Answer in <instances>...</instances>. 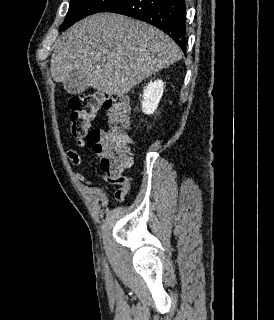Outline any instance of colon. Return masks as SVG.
<instances>
[{"label":"colon","instance_id":"colon-1","mask_svg":"<svg viewBox=\"0 0 274 320\" xmlns=\"http://www.w3.org/2000/svg\"><path fill=\"white\" fill-rule=\"evenodd\" d=\"M126 100L123 96L108 99L100 91H92L70 97L67 101L70 111L69 133L84 134L85 138L92 139L94 151L104 153L100 163L101 170L121 185L115 196H126L129 190L127 178L121 175L131 161V138L127 133L130 115ZM100 108L105 110L110 126L108 131L91 126V121L96 120Z\"/></svg>","mask_w":274,"mask_h":320}]
</instances>
